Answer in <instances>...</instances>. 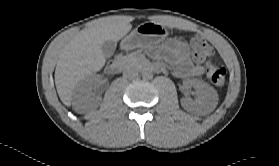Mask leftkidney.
<instances>
[{"mask_svg":"<svg viewBox=\"0 0 279 166\" xmlns=\"http://www.w3.org/2000/svg\"><path fill=\"white\" fill-rule=\"evenodd\" d=\"M187 87H194L197 90L195 100L184 97L180 100L181 106L185 110H204L218 99L216 90L209 84L195 79H187L184 81Z\"/></svg>","mask_w":279,"mask_h":166,"instance_id":"obj_1","label":"left kidney"}]
</instances>
